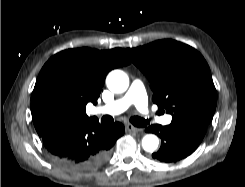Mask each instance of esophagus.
I'll list each match as a JSON object with an SVG mask.
<instances>
[{"label": "esophagus", "mask_w": 245, "mask_h": 187, "mask_svg": "<svg viewBox=\"0 0 245 187\" xmlns=\"http://www.w3.org/2000/svg\"><path fill=\"white\" fill-rule=\"evenodd\" d=\"M126 130L129 132H140V131H142L141 128H137V127L133 126L132 124H127Z\"/></svg>", "instance_id": "esophagus-1"}]
</instances>
